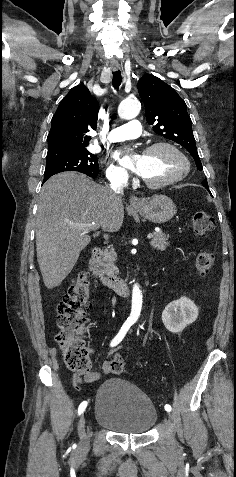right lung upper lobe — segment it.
Returning <instances> with one entry per match:
<instances>
[{
	"mask_svg": "<svg viewBox=\"0 0 236 477\" xmlns=\"http://www.w3.org/2000/svg\"><path fill=\"white\" fill-rule=\"evenodd\" d=\"M98 102L85 85L73 87L52 118L47 137V161L73 154L89 145L87 133L96 129Z\"/></svg>",
	"mask_w": 236,
	"mask_h": 477,
	"instance_id": "cb5924a9",
	"label": "right lung upper lobe"
}]
</instances>
